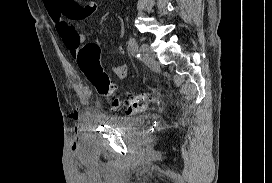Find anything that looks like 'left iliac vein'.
Listing matches in <instances>:
<instances>
[{
  "label": "left iliac vein",
  "mask_w": 272,
  "mask_h": 183,
  "mask_svg": "<svg viewBox=\"0 0 272 183\" xmlns=\"http://www.w3.org/2000/svg\"><path fill=\"white\" fill-rule=\"evenodd\" d=\"M141 59L146 65H153L155 62V54L148 44H141L140 46Z\"/></svg>",
  "instance_id": "left-iliac-vein-1"
}]
</instances>
